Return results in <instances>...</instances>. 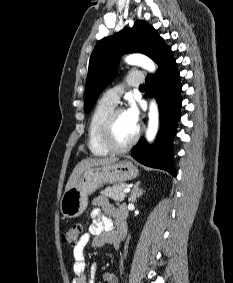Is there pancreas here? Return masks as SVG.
Segmentation results:
<instances>
[{
    "label": "pancreas",
    "mask_w": 233,
    "mask_h": 283,
    "mask_svg": "<svg viewBox=\"0 0 233 283\" xmlns=\"http://www.w3.org/2000/svg\"><path fill=\"white\" fill-rule=\"evenodd\" d=\"M125 183H119L112 186H108L105 190H102L100 194L102 196L109 197L115 201H123L126 198V193L123 190L126 188Z\"/></svg>",
    "instance_id": "1"
}]
</instances>
